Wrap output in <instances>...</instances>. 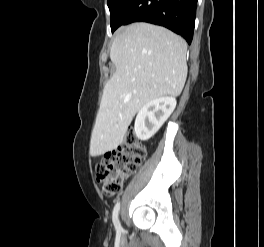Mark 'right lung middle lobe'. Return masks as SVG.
I'll list each match as a JSON object with an SVG mask.
<instances>
[{
	"instance_id": "obj_1",
	"label": "right lung middle lobe",
	"mask_w": 264,
	"mask_h": 247,
	"mask_svg": "<svg viewBox=\"0 0 264 247\" xmlns=\"http://www.w3.org/2000/svg\"><path fill=\"white\" fill-rule=\"evenodd\" d=\"M131 0H107L111 14L110 26L112 32L117 29L118 17Z\"/></svg>"
}]
</instances>
